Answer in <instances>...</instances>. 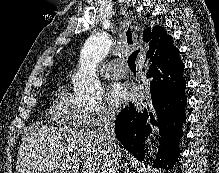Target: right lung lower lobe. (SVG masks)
Here are the masks:
<instances>
[{"mask_svg":"<svg viewBox=\"0 0 219 173\" xmlns=\"http://www.w3.org/2000/svg\"><path fill=\"white\" fill-rule=\"evenodd\" d=\"M158 56L149 67L148 90L143 98L129 103L117 116L116 137L139 160L144 159L143 140L156 128L158 152L154 167L168 171L175 165L179 154L182 125L186 120V82L184 64L179 51L173 55Z\"/></svg>","mask_w":219,"mask_h":173,"instance_id":"right-lung-lower-lobe-1","label":"right lung lower lobe"}]
</instances>
